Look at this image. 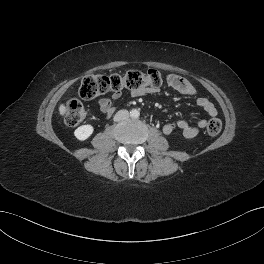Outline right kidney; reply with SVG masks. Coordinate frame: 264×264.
<instances>
[{"label": "right kidney", "instance_id": "right-kidney-1", "mask_svg": "<svg viewBox=\"0 0 264 264\" xmlns=\"http://www.w3.org/2000/svg\"><path fill=\"white\" fill-rule=\"evenodd\" d=\"M94 128L91 125H82L80 127H78L75 132L74 135L75 137L80 140V141H84L86 139H88L91 134L93 133Z\"/></svg>", "mask_w": 264, "mask_h": 264}]
</instances>
